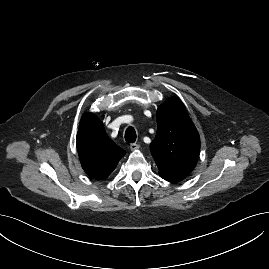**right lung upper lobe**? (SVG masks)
Masks as SVG:
<instances>
[{
	"instance_id": "1",
	"label": "right lung upper lobe",
	"mask_w": 269,
	"mask_h": 269,
	"mask_svg": "<svg viewBox=\"0 0 269 269\" xmlns=\"http://www.w3.org/2000/svg\"><path fill=\"white\" fill-rule=\"evenodd\" d=\"M77 150L83 169L97 180L107 178L126 153L108 137L102 122L91 113L81 118Z\"/></svg>"
}]
</instances>
